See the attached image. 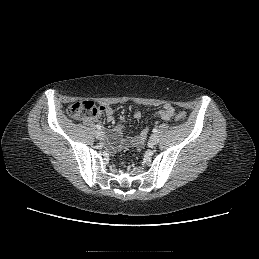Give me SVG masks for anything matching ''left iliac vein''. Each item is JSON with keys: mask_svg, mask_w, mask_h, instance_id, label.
I'll return each instance as SVG.
<instances>
[{"mask_svg": "<svg viewBox=\"0 0 259 259\" xmlns=\"http://www.w3.org/2000/svg\"><path fill=\"white\" fill-rule=\"evenodd\" d=\"M149 142H150L152 145L158 144V142H159V137H158V135H156V134L151 135Z\"/></svg>", "mask_w": 259, "mask_h": 259, "instance_id": "4c4485c4", "label": "left iliac vein"}]
</instances>
